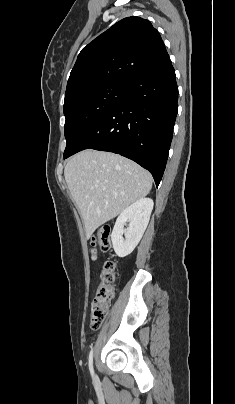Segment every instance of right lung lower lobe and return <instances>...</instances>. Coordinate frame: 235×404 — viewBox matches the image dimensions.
Wrapping results in <instances>:
<instances>
[{"mask_svg":"<svg viewBox=\"0 0 235 404\" xmlns=\"http://www.w3.org/2000/svg\"><path fill=\"white\" fill-rule=\"evenodd\" d=\"M177 101L175 70L168 57L126 81L119 103L64 158L89 148L117 153L149 170L158 186L167 163Z\"/></svg>","mask_w":235,"mask_h":404,"instance_id":"right-lung-lower-lobe-1","label":"right lung lower lobe"}]
</instances>
